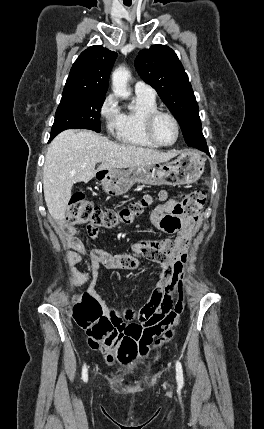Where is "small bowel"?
Masks as SVG:
<instances>
[{
  "instance_id": "1",
  "label": "small bowel",
  "mask_w": 264,
  "mask_h": 429,
  "mask_svg": "<svg viewBox=\"0 0 264 429\" xmlns=\"http://www.w3.org/2000/svg\"><path fill=\"white\" fill-rule=\"evenodd\" d=\"M150 220L163 231L177 232L175 239L145 240L133 244L131 254H114L103 248L87 246L75 226L63 227L60 234L63 245L71 249L67 254L68 260L85 262L87 272L83 279L88 282L86 294L100 304L105 314L111 310L101 301L96 289L101 266L134 270L139 267L141 256L160 263L157 281L148 284L151 293L145 304L138 312L129 309L133 318L128 322L129 330L125 331V337L136 343V356L141 358L147 357L153 348L169 342L172 329L180 321L182 310L178 306L173 308L172 295L182 283L191 239V220L173 199L160 203L151 213ZM97 231L88 230L91 236H95ZM157 336L160 337L155 339Z\"/></svg>"
}]
</instances>
